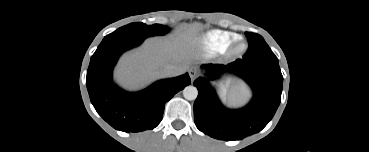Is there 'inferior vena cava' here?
Returning a JSON list of instances; mask_svg holds the SVG:
<instances>
[{
    "instance_id": "obj_1",
    "label": "inferior vena cava",
    "mask_w": 369,
    "mask_h": 152,
    "mask_svg": "<svg viewBox=\"0 0 369 152\" xmlns=\"http://www.w3.org/2000/svg\"><path fill=\"white\" fill-rule=\"evenodd\" d=\"M164 72L167 76H176L182 72V69L178 66L168 64L164 67Z\"/></svg>"
}]
</instances>
